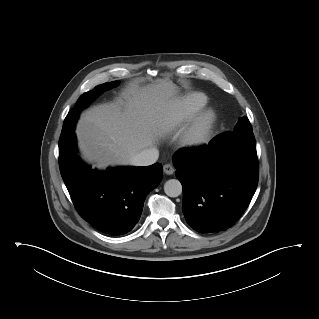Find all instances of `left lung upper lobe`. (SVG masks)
Wrapping results in <instances>:
<instances>
[{"label": "left lung upper lobe", "instance_id": "1", "mask_svg": "<svg viewBox=\"0 0 319 319\" xmlns=\"http://www.w3.org/2000/svg\"><path fill=\"white\" fill-rule=\"evenodd\" d=\"M232 133L254 136L251 124L245 116L239 119Z\"/></svg>", "mask_w": 319, "mask_h": 319}]
</instances>
